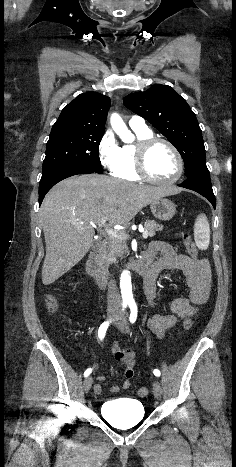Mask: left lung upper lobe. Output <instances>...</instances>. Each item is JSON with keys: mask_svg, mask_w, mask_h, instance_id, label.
<instances>
[{"mask_svg": "<svg viewBox=\"0 0 236 467\" xmlns=\"http://www.w3.org/2000/svg\"><path fill=\"white\" fill-rule=\"evenodd\" d=\"M124 105L150 122L179 151L185 176L207 171L205 147L197 118L184 98L166 85L127 95Z\"/></svg>", "mask_w": 236, "mask_h": 467, "instance_id": "obj_1", "label": "left lung upper lobe"}]
</instances>
